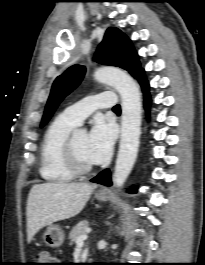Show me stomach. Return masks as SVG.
Masks as SVG:
<instances>
[{
  "mask_svg": "<svg viewBox=\"0 0 205 265\" xmlns=\"http://www.w3.org/2000/svg\"><path fill=\"white\" fill-rule=\"evenodd\" d=\"M95 197L99 201H106L107 199V193L102 192L99 193L97 192L95 194ZM64 232L58 225H49L47 227V230L45 231L43 235L44 242L51 247H59L63 244L64 242Z\"/></svg>",
  "mask_w": 205,
  "mask_h": 265,
  "instance_id": "stomach-1",
  "label": "stomach"
}]
</instances>
